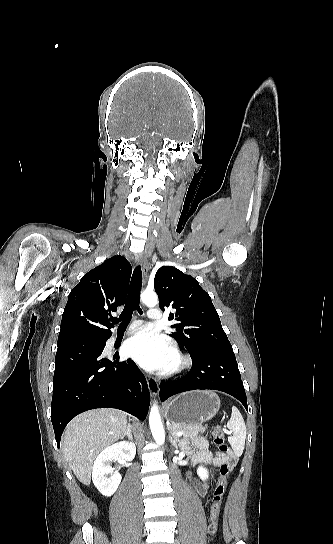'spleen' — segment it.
<instances>
[{
	"mask_svg": "<svg viewBox=\"0 0 333 544\" xmlns=\"http://www.w3.org/2000/svg\"><path fill=\"white\" fill-rule=\"evenodd\" d=\"M227 428L233 433L228 437V441L237 456L243 453L246 439V425L240 411L233 406L230 420Z\"/></svg>",
	"mask_w": 333,
	"mask_h": 544,
	"instance_id": "obj_1",
	"label": "spleen"
}]
</instances>
